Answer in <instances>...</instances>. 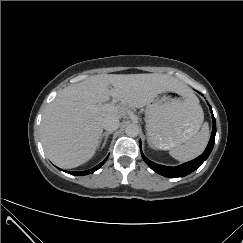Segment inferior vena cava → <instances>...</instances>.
Wrapping results in <instances>:
<instances>
[{"instance_id": "obj_1", "label": "inferior vena cava", "mask_w": 243, "mask_h": 243, "mask_svg": "<svg viewBox=\"0 0 243 243\" xmlns=\"http://www.w3.org/2000/svg\"><path fill=\"white\" fill-rule=\"evenodd\" d=\"M119 127V119L108 117L103 122V128L108 132H113Z\"/></svg>"}]
</instances>
